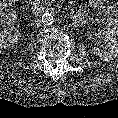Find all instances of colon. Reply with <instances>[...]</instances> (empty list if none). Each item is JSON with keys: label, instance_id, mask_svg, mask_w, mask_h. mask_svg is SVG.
Listing matches in <instances>:
<instances>
[{"label": "colon", "instance_id": "5ec220e1", "mask_svg": "<svg viewBox=\"0 0 118 118\" xmlns=\"http://www.w3.org/2000/svg\"><path fill=\"white\" fill-rule=\"evenodd\" d=\"M14 11L0 6V27L12 25L15 22Z\"/></svg>", "mask_w": 118, "mask_h": 118}]
</instances>
